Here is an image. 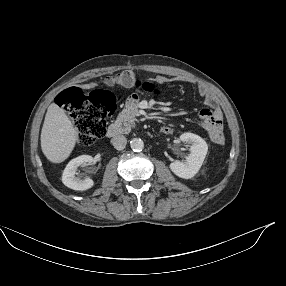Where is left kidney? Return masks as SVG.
Listing matches in <instances>:
<instances>
[{"instance_id": "obj_1", "label": "left kidney", "mask_w": 286, "mask_h": 286, "mask_svg": "<svg viewBox=\"0 0 286 286\" xmlns=\"http://www.w3.org/2000/svg\"><path fill=\"white\" fill-rule=\"evenodd\" d=\"M179 139L190 144V153L184 161L172 162L169 167L178 177L191 179L201 168L208 151V145L204 139L193 133H183Z\"/></svg>"}]
</instances>
